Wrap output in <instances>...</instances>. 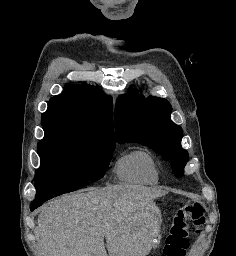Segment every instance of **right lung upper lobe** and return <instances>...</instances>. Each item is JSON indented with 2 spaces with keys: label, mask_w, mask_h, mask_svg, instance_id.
<instances>
[{
  "label": "right lung upper lobe",
  "mask_w": 236,
  "mask_h": 256,
  "mask_svg": "<svg viewBox=\"0 0 236 256\" xmlns=\"http://www.w3.org/2000/svg\"><path fill=\"white\" fill-rule=\"evenodd\" d=\"M112 98L89 85H67L65 91L48 102L42 114L44 130L67 129L115 140Z\"/></svg>",
  "instance_id": "right-lung-upper-lobe-1"
}]
</instances>
